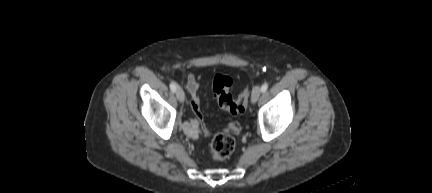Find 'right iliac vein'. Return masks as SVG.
I'll return each mask as SVG.
<instances>
[{
  "mask_svg": "<svg viewBox=\"0 0 432 193\" xmlns=\"http://www.w3.org/2000/svg\"><path fill=\"white\" fill-rule=\"evenodd\" d=\"M176 97H177L178 101L181 103L184 102V100H185L184 91L180 87H178L176 89Z\"/></svg>",
  "mask_w": 432,
  "mask_h": 193,
  "instance_id": "1",
  "label": "right iliac vein"
}]
</instances>
